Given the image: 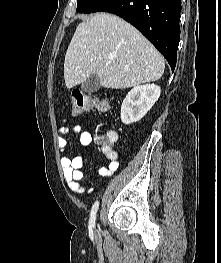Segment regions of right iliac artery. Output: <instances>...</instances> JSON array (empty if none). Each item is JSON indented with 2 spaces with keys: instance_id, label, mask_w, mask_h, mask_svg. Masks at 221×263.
I'll return each mask as SVG.
<instances>
[{
  "instance_id": "obj_1",
  "label": "right iliac artery",
  "mask_w": 221,
  "mask_h": 263,
  "mask_svg": "<svg viewBox=\"0 0 221 263\" xmlns=\"http://www.w3.org/2000/svg\"><path fill=\"white\" fill-rule=\"evenodd\" d=\"M98 207H99V202L96 201V202L93 204V207H92V210H91V215H90L89 226H90L91 228H94V226H95L96 213H97Z\"/></svg>"
}]
</instances>
